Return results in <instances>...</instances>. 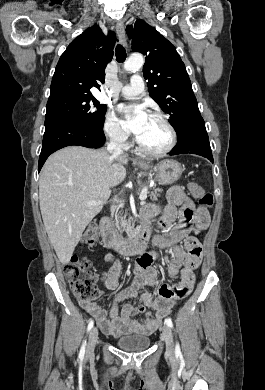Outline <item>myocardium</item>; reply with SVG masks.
I'll return each instance as SVG.
<instances>
[{
    "label": "myocardium",
    "mask_w": 265,
    "mask_h": 390,
    "mask_svg": "<svg viewBox=\"0 0 265 390\" xmlns=\"http://www.w3.org/2000/svg\"><path fill=\"white\" fill-rule=\"evenodd\" d=\"M149 116L160 120L164 124V126L167 128V130L169 132L170 140H169L166 147H164L161 150L154 151V150H150V149L146 148L145 146H143L142 143L139 141L138 137H136L135 141H136L137 147L142 153H144L145 155H148V156H152V157L165 156L168 153H170L174 149V147L176 146L177 132H176L174 126L172 125V123L169 121V119L161 112L154 111V112H151L149 114Z\"/></svg>",
    "instance_id": "1"
}]
</instances>
